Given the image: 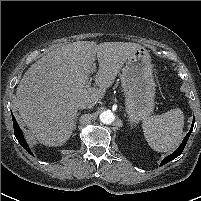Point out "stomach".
<instances>
[{"label":"stomach","instance_id":"obj_1","mask_svg":"<svg viewBox=\"0 0 201 201\" xmlns=\"http://www.w3.org/2000/svg\"><path fill=\"white\" fill-rule=\"evenodd\" d=\"M126 112L131 121L146 120L154 110L155 82L151 56L146 48L136 49L122 70Z\"/></svg>","mask_w":201,"mask_h":201}]
</instances>
